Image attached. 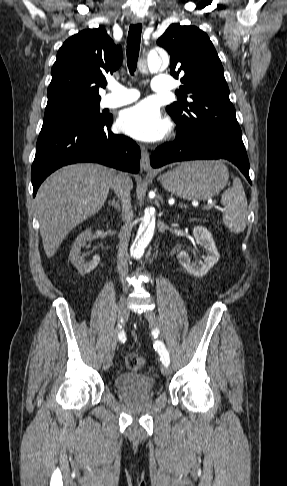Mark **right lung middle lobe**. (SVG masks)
Listing matches in <instances>:
<instances>
[{
	"label": "right lung middle lobe",
	"instance_id": "1",
	"mask_svg": "<svg viewBox=\"0 0 287 486\" xmlns=\"http://www.w3.org/2000/svg\"><path fill=\"white\" fill-rule=\"evenodd\" d=\"M99 104L100 100H86L46 107L41 132L98 122L104 117Z\"/></svg>",
	"mask_w": 287,
	"mask_h": 486
}]
</instances>
